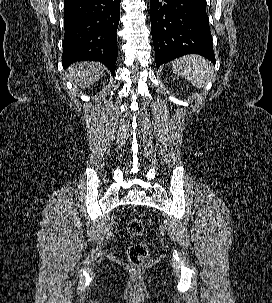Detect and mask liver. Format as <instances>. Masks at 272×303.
<instances>
[{"instance_id":"obj_1","label":"liver","mask_w":272,"mask_h":303,"mask_svg":"<svg viewBox=\"0 0 272 303\" xmlns=\"http://www.w3.org/2000/svg\"><path fill=\"white\" fill-rule=\"evenodd\" d=\"M106 67L99 62H79L69 68L71 80L85 89L97 82L103 75Z\"/></svg>"}]
</instances>
